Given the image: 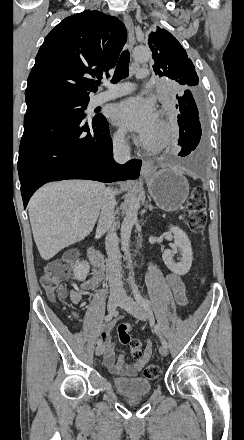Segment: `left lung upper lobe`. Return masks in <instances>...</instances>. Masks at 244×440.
I'll use <instances>...</instances> for the list:
<instances>
[{
	"mask_svg": "<svg viewBox=\"0 0 244 440\" xmlns=\"http://www.w3.org/2000/svg\"><path fill=\"white\" fill-rule=\"evenodd\" d=\"M148 44L154 59L153 69L160 77H168L180 85H198V76L192 61L178 40L167 30L157 27L149 35Z\"/></svg>",
	"mask_w": 244,
	"mask_h": 440,
	"instance_id": "5c2ea615",
	"label": "left lung upper lobe"
}]
</instances>
